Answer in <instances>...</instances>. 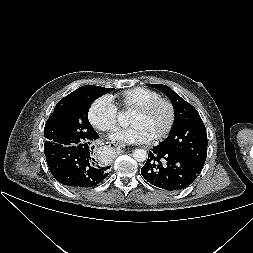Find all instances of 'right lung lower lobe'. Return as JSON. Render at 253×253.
Listing matches in <instances>:
<instances>
[{"mask_svg": "<svg viewBox=\"0 0 253 253\" xmlns=\"http://www.w3.org/2000/svg\"><path fill=\"white\" fill-rule=\"evenodd\" d=\"M98 138L95 131L94 138L86 143L46 155L49 170L59 183L71 188H88L96 186L109 175L110 166L100 161L94 151Z\"/></svg>", "mask_w": 253, "mask_h": 253, "instance_id": "obj_1", "label": "right lung lower lobe"}]
</instances>
